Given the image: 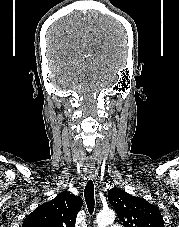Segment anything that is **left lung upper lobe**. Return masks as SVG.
<instances>
[{
  "mask_svg": "<svg viewBox=\"0 0 179 227\" xmlns=\"http://www.w3.org/2000/svg\"><path fill=\"white\" fill-rule=\"evenodd\" d=\"M108 200L125 227H164L158 207L143 198L113 188L108 192Z\"/></svg>",
  "mask_w": 179,
  "mask_h": 227,
  "instance_id": "1",
  "label": "left lung upper lobe"
}]
</instances>
